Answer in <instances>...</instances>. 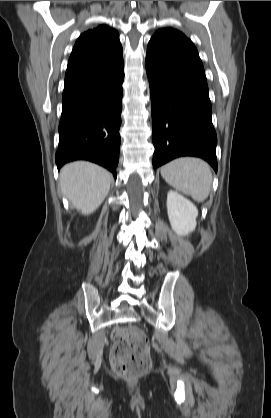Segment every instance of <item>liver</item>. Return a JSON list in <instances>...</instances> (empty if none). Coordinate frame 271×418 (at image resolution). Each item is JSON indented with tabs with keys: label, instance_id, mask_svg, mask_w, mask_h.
I'll list each match as a JSON object with an SVG mask.
<instances>
[{
	"label": "liver",
	"instance_id": "obj_1",
	"mask_svg": "<svg viewBox=\"0 0 271 418\" xmlns=\"http://www.w3.org/2000/svg\"><path fill=\"white\" fill-rule=\"evenodd\" d=\"M110 182L111 174L91 162H72L60 171L62 194L84 215L93 213L102 204Z\"/></svg>",
	"mask_w": 271,
	"mask_h": 418
}]
</instances>
